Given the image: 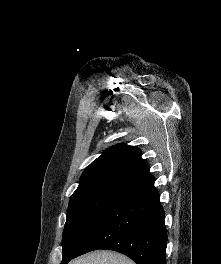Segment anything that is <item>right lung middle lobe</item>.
Masks as SVG:
<instances>
[{
    "label": "right lung middle lobe",
    "instance_id": "obj_1",
    "mask_svg": "<svg viewBox=\"0 0 221 264\" xmlns=\"http://www.w3.org/2000/svg\"><path fill=\"white\" fill-rule=\"evenodd\" d=\"M126 188L97 187L71 196L63 231V258L75 254Z\"/></svg>",
    "mask_w": 221,
    "mask_h": 264
}]
</instances>
